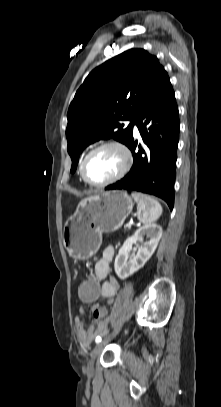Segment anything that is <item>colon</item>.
<instances>
[{"label":"colon","instance_id":"colon-1","mask_svg":"<svg viewBox=\"0 0 221 407\" xmlns=\"http://www.w3.org/2000/svg\"><path fill=\"white\" fill-rule=\"evenodd\" d=\"M77 292L75 297L80 300L82 306H92L93 302L99 300L101 292V283L98 277H84L82 283H77ZM108 305H99L93 310L95 319H103L108 316Z\"/></svg>","mask_w":221,"mask_h":407}]
</instances>
